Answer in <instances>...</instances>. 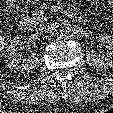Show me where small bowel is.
<instances>
[{"mask_svg":"<svg viewBox=\"0 0 113 113\" xmlns=\"http://www.w3.org/2000/svg\"><path fill=\"white\" fill-rule=\"evenodd\" d=\"M108 3L112 6L113 8V0H108Z\"/></svg>","mask_w":113,"mask_h":113,"instance_id":"1","label":"small bowel"}]
</instances>
